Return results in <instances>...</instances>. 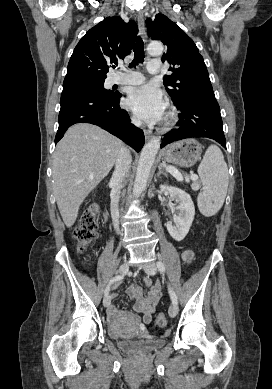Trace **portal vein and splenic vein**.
<instances>
[{
	"mask_svg": "<svg viewBox=\"0 0 272 389\" xmlns=\"http://www.w3.org/2000/svg\"><path fill=\"white\" fill-rule=\"evenodd\" d=\"M166 170L171 173L178 181H183V176L181 175V173L174 167L172 166H167L166 167ZM190 179L193 180V181H196L198 179V176L197 175H194L192 174L190 176Z\"/></svg>",
	"mask_w": 272,
	"mask_h": 389,
	"instance_id": "portal-vein-and-splenic-vein-1",
	"label": "portal vein and splenic vein"
}]
</instances>
